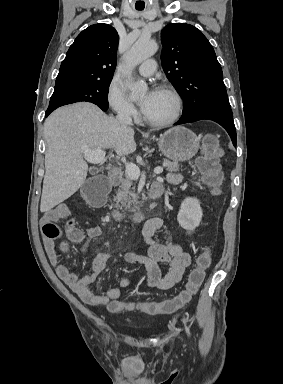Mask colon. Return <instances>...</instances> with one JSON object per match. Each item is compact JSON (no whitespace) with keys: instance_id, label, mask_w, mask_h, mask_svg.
I'll return each instance as SVG.
<instances>
[{"instance_id":"obj_1","label":"colon","mask_w":283,"mask_h":384,"mask_svg":"<svg viewBox=\"0 0 283 384\" xmlns=\"http://www.w3.org/2000/svg\"><path fill=\"white\" fill-rule=\"evenodd\" d=\"M222 154L218 139L213 135L205 137L201 155L198 158V169L202 175L203 182L217 195L220 192L223 176L219 167V158ZM110 189V183L102 176L90 178L81 190L82 200L89 206H101L106 199ZM67 237L70 241H78L80 233L73 228L72 222L69 224ZM45 233L49 237L56 238L60 235V229L55 224H47ZM212 260L211 251L205 248L197 257L196 265L189 274L185 289L181 291L175 298L164 302H141L126 303L115 301L108 305L109 311L113 313H121L125 311H141L147 314H170L186 305L191 298L198 292L204 279L205 272L210 266Z\"/></svg>"}]
</instances>
